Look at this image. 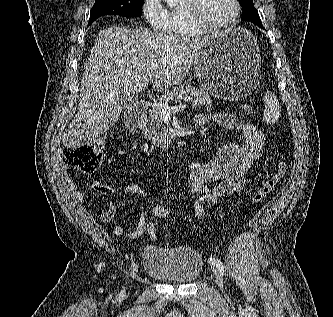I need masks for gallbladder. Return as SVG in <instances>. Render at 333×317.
I'll list each match as a JSON object with an SVG mask.
<instances>
[{
  "label": "gallbladder",
  "mask_w": 333,
  "mask_h": 317,
  "mask_svg": "<svg viewBox=\"0 0 333 317\" xmlns=\"http://www.w3.org/2000/svg\"><path fill=\"white\" fill-rule=\"evenodd\" d=\"M138 101L139 99L136 96H122L119 99L120 105L126 110L135 108Z\"/></svg>",
  "instance_id": "1"
}]
</instances>
